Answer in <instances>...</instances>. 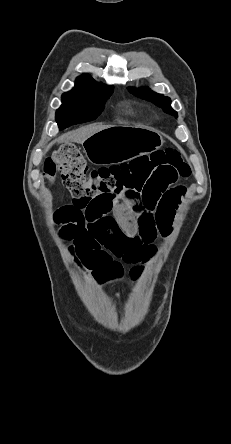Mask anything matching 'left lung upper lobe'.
<instances>
[{
    "label": "left lung upper lobe",
    "mask_w": 231,
    "mask_h": 444,
    "mask_svg": "<svg viewBox=\"0 0 231 444\" xmlns=\"http://www.w3.org/2000/svg\"><path fill=\"white\" fill-rule=\"evenodd\" d=\"M128 90L134 95L142 99L151 101L156 105L162 107L165 112L177 116V112L174 111L170 106L171 100L169 97H164L162 94L155 93L148 88H142V89L128 88Z\"/></svg>",
    "instance_id": "5c2ea615"
}]
</instances>
